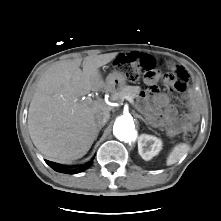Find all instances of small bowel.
Wrapping results in <instances>:
<instances>
[{
  "mask_svg": "<svg viewBox=\"0 0 221 221\" xmlns=\"http://www.w3.org/2000/svg\"><path fill=\"white\" fill-rule=\"evenodd\" d=\"M126 54H130L132 57H139L145 53L129 52ZM169 67L176 77L188 80V73L184 67L173 63H170ZM156 80L157 76L152 80H147V82L153 85ZM147 98L155 114L153 120L157 122L170 137L178 136L183 129L192 126L198 120V111L194 101L191 99L188 100L189 110L179 114L176 107L170 104L169 96L166 93L158 92L152 87L147 94Z\"/></svg>",
  "mask_w": 221,
  "mask_h": 221,
  "instance_id": "c3829d8e",
  "label": "small bowel"
}]
</instances>
